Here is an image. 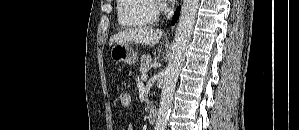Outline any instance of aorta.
<instances>
[{"instance_id":"obj_1","label":"aorta","mask_w":299,"mask_h":130,"mask_svg":"<svg viewBox=\"0 0 299 130\" xmlns=\"http://www.w3.org/2000/svg\"><path fill=\"white\" fill-rule=\"evenodd\" d=\"M198 5L199 0L183 1L172 53L164 73V85L155 130H165L167 127L168 117L172 108L173 94L179 73L186 58Z\"/></svg>"}]
</instances>
